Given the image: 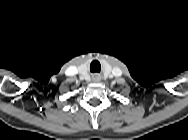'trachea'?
<instances>
[{
    "mask_svg": "<svg viewBox=\"0 0 188 140\" xmlns=\"http://www.w3.org/2000/svg\"><path fill=\"white\" fill-rule=\"evenodd\" d=\"M100 70H101L100 63L97 60L92 61L91 64H90V71L92 73H95V72L99 73Z\"/></svg>",
    "mask_w": 188,
    "mask_h": 140,
    "instance_id": "1",
    "label": "trachea"
}]
</instances>
